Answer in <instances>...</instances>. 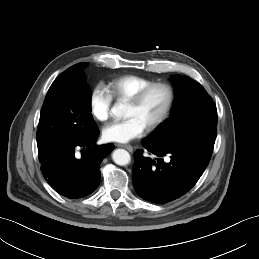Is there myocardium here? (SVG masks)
I'll list each match as a JSON object with an SVG mask.
<instances>
[{
  "label": "myocardium",
  "instance_id": "myocardium-1",
  "mask_svg": "<svg viewBox=\"0 0 259 259\" xmlns=\"http://www.w3.org/2000/svg\"><path fill=\"white\" fill-rule=\"evenodd\" d=\"M156 88H161L165 91L166 102L160 115L146 127L149 131L158 128L167 119L175 101V91L173 87L166 82H153L127 100L128 104H131L132 106H139L144 101L146 96Z\"/></svg>",
  "mask_w": 259,
  "mask_h": 259
}]
</instances>
